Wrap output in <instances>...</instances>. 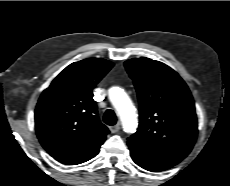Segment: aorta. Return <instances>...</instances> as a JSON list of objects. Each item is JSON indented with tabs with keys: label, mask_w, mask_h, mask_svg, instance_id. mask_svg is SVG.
I'll return each instance as SVG.
<instances>
[{
	"label": "aorta",
	"mask_w": 230,
	"mask_h": 186,
	"mask_svg": "<svg viewBox=\"0 0 230 186\" xmlns=\"http://www.w3.org/2000/svg\"><path fill=\"white\" fill-rule=\"evenodd\" d=\"M108 96L120 117L124 131L135 132L138 125L136 109L127 93L120 87H111Z\"/></svg>",
	"instance_id": "1"
}]
</instances>
